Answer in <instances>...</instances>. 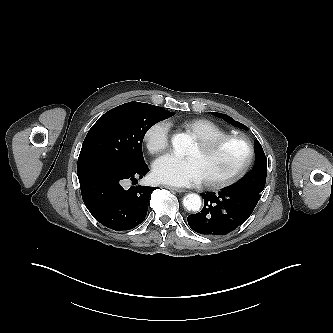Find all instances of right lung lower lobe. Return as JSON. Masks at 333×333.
I'll use <instances>...</instances> for the list:
<instances>
[{
  "label": "right lung lower lobe",
  "instance_id": "98d812e1",
  "mask_svg": "<svg viewBox=\"0 0 333 333\" xmlns=\"http://www.w3.org/2000/svg\"><path fill=\"white\" fill-rule=\"evenodd\" d=\"M149 171L146 163L129 166L112 159L94 158L77 163V174L83 201L92 216L113 230H130L146 217L149 186L122 185L126 180L137 181Z\"/></svg>",
  "mask_w": 333,
  "mask_h": 333
}]
</instances>
